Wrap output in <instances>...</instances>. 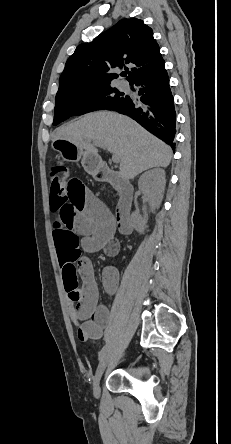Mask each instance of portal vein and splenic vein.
Listing matches in <instances>:
<instances>
[{"mask_svg":"<svg viewBox=\"0 0 231 444\" xmlns=\"http://www.w3.org/2000/svg\"><path fill=\"white\" fill-rule=\"evenodd\" d=\"M93 144L96 145V146H99V147H101V148H103V149H105L104 145L101 144V143L98 142V141H93ZM112 161H113L114 163H118V162L120 161L119 156H118V155H113V156H112Z\"/></svg>","mask_w":231,"mask_h":444,"instance_id":"18ae733b","label":"portal vein and splenic vein"}]
</instances>
